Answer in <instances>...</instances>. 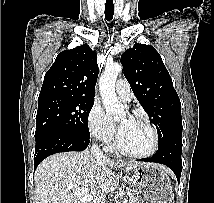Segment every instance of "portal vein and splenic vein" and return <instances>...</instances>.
<instances>
[{"label":"portal vein and splenic vein","mask_w":214,"mask_h":203,"mask_svg":"<svg viewBox=\"0 0 214 203\" xmlns=\"http://www.w3.org/2000/svg\"><path fill=\"white\" fill-rule=\"evenodd\" d=\"M74 195L82 200L84 203H88L93 200V196L89 194L88 189L81 188L74 191ZM127 203V200H125Z\"/></svg>","instance_id":"obj_1"}]
</instances>
